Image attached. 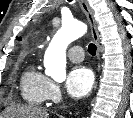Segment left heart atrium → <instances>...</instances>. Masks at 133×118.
Here are the masks:
<instances>
[{"label": "left heart atrium", "mask_w": 133, "mask_h": 118, "mask_svg": "<svg viewBox=\"0 0 133 118\" xmlns=\"http://www.w3.org/2000/svg\"><path fill=\"white\" fill-rule=\"evenodd\" d=\"M94 85V74L85 66L74 67L67 76L66 89L74 98L86 96Z\"/></svg>", "instance_id": "1"}]
</instances>
